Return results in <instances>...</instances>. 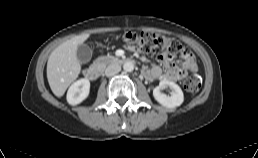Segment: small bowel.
I'll return each mask as SVG.
<instances>
[{"label": "small bowel", "mask_w": 258, "mask_h": 158, "mask_svg": "<svg viewBox=\"0 0 258 158\" xmlns=\"http://www.w3.org/2000/svg\"><path fill=\"white\" fill-rule=\"evenodd\" d=\"M160 65H155L152 68H144L143 75L150 80H165L177 82L187 76L188 73H193L197 70V65L194 56L190 53L184 56V62L181 66H177L172 57L167 53H162L158 56Z\"/></svg>", "instance_id": "small-bowel-1"}]
</instances>
